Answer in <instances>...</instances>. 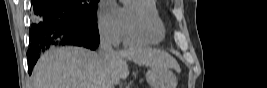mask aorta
Here are the masks:
<instances>
[{
  "label": "aorta",
  "mask_w": 267,
  "mask_h": 88,
  "mask_svg": "<svg viewBox=\"0 0 267 88\" xmlns=\"http://www.w3.org/2000/svg\"><path fill=\"white\" fill-rule=\"evenodd\" d=\"M121 2L126 3L129 2V0H121Z\"/></svg>",
  "instance_id": "1"
}]
</instances>
